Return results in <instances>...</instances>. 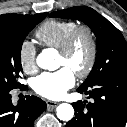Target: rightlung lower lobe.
Instances as JSON below:
<instances>
[{
    "label": "right lung lower lobe",
    "mask_w": 127,
    "mask_h": 127,
    "mask_svg": "<svg viewBox=\"0 0 127 127\" xmlns=\"http://www.w3.org/2000/svg\"><path fill=\"white\" fill-rule=\"evenodd\" d=\"M22 89H27V86ZM46 107L40 98L29 95L13 105L10 91L0 92V127H34L35 119Z\"/></svg>",
    "instance_id": "98d812e1"
}]
</instances>
